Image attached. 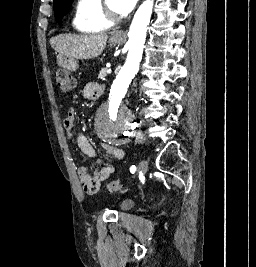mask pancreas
Returning <instances> with one entry per match:
<instances>
[{
	"instance_id": "1",
	"label": "pancreas",
	"mask_w": 256,
	"mask_h": 267,
	"mask_svg": "<svg viewBox=\"0 0 256 267\" xmlns=\"http://www.w3.org/2000/svg\"><path fill=\"white\" fill-rule=\"evenodd\" d=\"M107 70H108V68H102V70L100 72V78H104V76H106Z\"/></svg>"
}]
</instances>
